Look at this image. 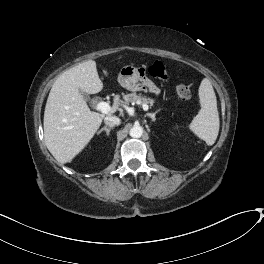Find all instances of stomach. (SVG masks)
<instances>
[{"instance_id": "stomach-1", "label": "stomach", "mask_w": 264, "mask_h": 264, "mask_svg": "<svg viewBox=\"0 0 264 264\" xmlns=\"http://www.w3.org/2000/svg\"><path fill=\"white\" fill-rule=\"evenodd\" d=\"M141 79L142 76L139 68H136L133 65L123 66L118 74L119 84L130 91H135L138 89L137 83Z\"/></svg>"}]
</instances>
